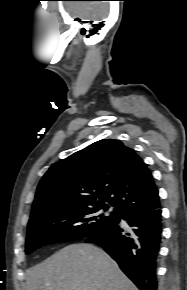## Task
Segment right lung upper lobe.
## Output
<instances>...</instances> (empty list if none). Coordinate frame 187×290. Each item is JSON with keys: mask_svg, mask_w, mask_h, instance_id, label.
Segmentation results:
<instances>
[{"mask_svg": "<svg viewBox=\"0 0 187 290\" xmlns=\"http://www.w3.org/2000/svg\"><path fill=\"white\" fill-rule=\"evenodd\" d=\"M104 201L120 213L160 205L146 164L115 139L95 142L53 164L38 185L28 225L54 212Z\"/></svg>", "mask_w": 187, "mask_h": 290, "instance_id": "1", "label": "right lung upper lobe"}]
</instances>
